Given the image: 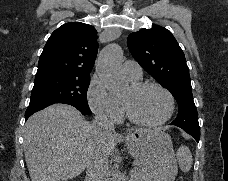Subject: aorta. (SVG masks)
<instances>
[{
  "label": "aorta",
  "instance_id": "obj_1",
  "mask_svg": "<svg viewBox=\"0 0 228 181\" xmlns=\"http://www.w3.org/2000/svg\"><path fill=\"white\" fill-rule=\"evenodd\" d=\"M122 55L119 45L109 44L100 52L96 66V71L104 86L114 96L122 94L127 88V83L120 73Z\"/></svg>",
  "mask_w": 228,
  "mask_h": 181
}]
</instances>
